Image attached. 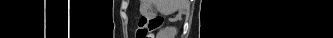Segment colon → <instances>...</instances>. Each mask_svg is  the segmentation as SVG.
<instances>
[{
  "mask_svg": "<svg viewBox=\"0 0 333 38\" xmlns=\"http://www.w3.org/2000/svg\"><path fill=\"white\" fill-rule=\"evenodd\" d=\"M163 22L164 18L161 16L140 18L136 30V38H154L153 32L161 27Z\"/></svg>",
  "mask_w": 333,
  "mask_h": 38,
  "instance_id": "5ec220e1",
  "label": "colon"
}]
</instances>
